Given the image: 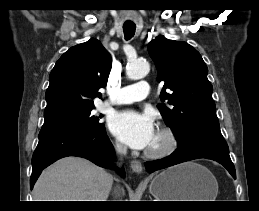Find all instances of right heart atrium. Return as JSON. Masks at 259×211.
<instances>
[{
    "label": "right heart atrium",
    "instance_id": "1",
    "mask_svg": "<svg viewBox=\"0 0 259 211\" xmlns=\"http://www.w3.org/2000/svg\"><path fill=\"white\" fill-rule=\"evenodd\" d=\"M114 146L118 152H123L125 150L124 146L119 141H116Z\"/></svg>",
    "mask_w": 259,
    "mask_h": 211
}]
</instances>
